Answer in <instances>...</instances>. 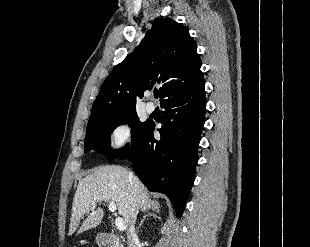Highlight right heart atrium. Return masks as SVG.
<instances>
[{
  "label": "right heart atrium",
  "mask_w": 310,
  "mask_h": 247,
  "mask_svg": "<svg viewBox=\"0 0 310 247\" xmlns=\"http://www.w3.org/2000/svg\"><path fill=\"white\" fill-rule=\"evenodd\" d=\"M131 134L132 130L129 124L119 123L110 131L108 143L111 147L120 149L130 141Z\"/></svg>",
  "instance_id": "obj_1"
}]
</instances>
